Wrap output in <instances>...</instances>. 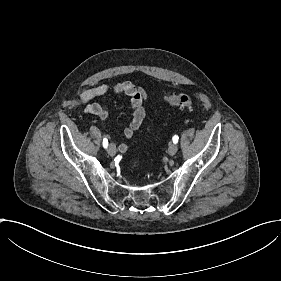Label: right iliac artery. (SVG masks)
<instances>
[{"label":"right iliac artery","mask_w":281,"mask_h":281,"mask_svg":"<svg viewBox=\"0 0 281 281\" xmlns=\"http://www.w3.org/2000/svg\"><path fill=\"white\" fill-rule=\"evenodd\" d=\"M103 147L104 148L108 147V140L106 138L103 139Z\"/></svg>","instance_id":"right-iliac-artery-1"}]
</instances>
